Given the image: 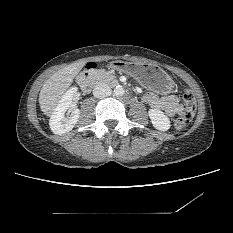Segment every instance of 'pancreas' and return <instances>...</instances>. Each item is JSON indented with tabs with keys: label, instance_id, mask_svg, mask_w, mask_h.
Masks as SVG:
<instances>
[{
	"label": "pancreas",
	"instance_id": "obj_1",
	"mask_svg": "<svg viewBox=\"0 0 233 233\" xmlns=\"http://www.w3.org/2000/svg\"><path fill=\"white\" fill-rule=\"evenodd\" d=\"M96 75L100 82L109 83L110 81L114 80V76L105 70H97Z\"/></svg>",
	"mask_w": 233,
	"mask_h": 233
}]
</instances>
